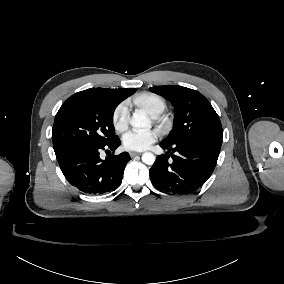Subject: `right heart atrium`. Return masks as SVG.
I'll return each mask as SVG.
<instances>
[{"label":"right heart atrium","instance_id":"right-heart-atrium-1","mask_svg":"<svg viewBox=\"0 0 284 284\" xmlns=\"http://www.w3.org/2000/svg\"><path fill=\"white\" fill-rule=\"evenodd\" d=\"M129 102L127 100L122 101L117 105L113 112L112 123L115 129L122 130L127 124Z\"/></svg>","mask_w":284,"mask_h":284}]
</instances>
